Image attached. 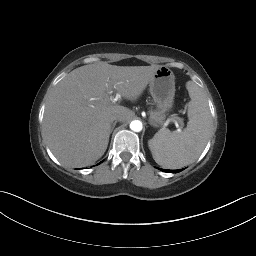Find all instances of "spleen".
Returning <instances> with one entry per match:
<instances>
[{"instance_id":"1","label":"spleen","mask_w":256,"mask_h":256,"mask_svg":"<svg viewBox=\"0 0 256 256\" xmlns=\"http://www.w3.org/2000/svg\"><path fill=\"white\" fill-rule=\"evenodd\" d=\"M186 88L191 98L186 129L181 133L162 130L148 141L155 162L167 169L193 163L204 150L211 132V114L203 90L192 81L187 82Z\"/></svg>"}]
</instances>
